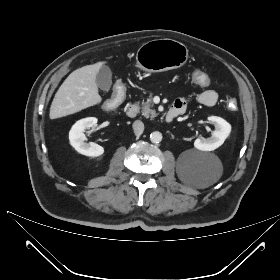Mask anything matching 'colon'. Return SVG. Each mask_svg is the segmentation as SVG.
Wrapping results in <instances>:
<instances>
[{
    "label": "colon",
    "instance_id": "1",
    "mask_svg": "<svg viewBox=\"0 0 280 280\" xmlns=\"http://www.w3.org/2000/svg\"><path fill=\"white\" fill-rule=\"evenodd\" d=\"M190 80L200 91H205L209 88L212 78L209 73L195 68L190 71L189 74ZM126 86L122 82H117L113 86V92L111 96H108L104 100V105L108 109H113L118 104H122L126 100ZM227 107L234 111L237 109V101L234 98H230L227 102Z\"/></svg>",
    "mask_w": 280,
    "mask_h": 280
}]
</instances>
